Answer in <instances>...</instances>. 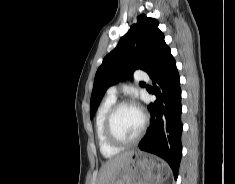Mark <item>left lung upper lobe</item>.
<instances>
[{
    "label": "left lung upper lobe",
    "instance_id": "1",
    "mask_svg": "<svg viewBox=\"0 0 235 184\" xmlns=\"http://www.w3.org/2000/svg\"><path fill=\"white\" fill-rule=\"evenodd\" d=\"M159 22L145 14L138 16L127 34L119 41L117 47L103 59L98 68L90 102V117L108 87L121 80L132 78L136 69L149 72L159 45L164 41L163 33L158 29Z\"/></svg>",
    "mask_w": 235,
    "mask_h": 184
}]
</instances>
